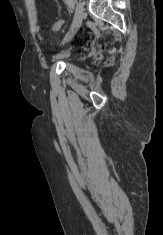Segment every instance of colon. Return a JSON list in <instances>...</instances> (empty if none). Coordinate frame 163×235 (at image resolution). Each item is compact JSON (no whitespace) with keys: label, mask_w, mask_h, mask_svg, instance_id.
Listing matches in <instances>:
<instances>
[{"label":"colon","mask_w":163,"mask_h":235,"mask_svg":"<svg viewBox=\"0 0 163 235\" xmlns=\"http://www.w3.org/2000/svg\"><path fill=\"white\" fill-rule=\"evenodd\" d=\"M63 20L62 19H59V20H57V21H55L53 24H52V26H51V28H52V30H59V29H61V27L63 26Z\"/></svg>","instance_id":"colon-1"}]
</instances>
